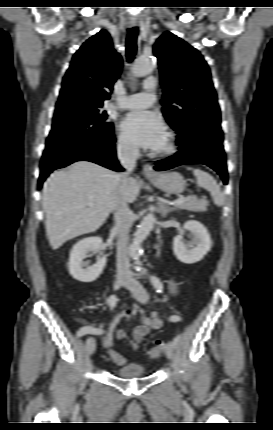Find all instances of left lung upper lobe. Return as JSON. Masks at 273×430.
<instances>
[{"label": "left lung upper lobe", "instance_id": "1", "mask_svg": "<svg viewBox=\"0 0 273 430\" xmlns=\"http://www.w3.org/2000/svg\"><path fill=\"white\" fill-rule=\"evenodd\" d=\"M163 85L162 112L178 134L200 119H220L211 73L200 52L176 35L165 32L154 45Z\"/></svg>", "mask_w": 273, "mask_h": 430}]
</instances>
